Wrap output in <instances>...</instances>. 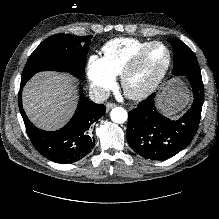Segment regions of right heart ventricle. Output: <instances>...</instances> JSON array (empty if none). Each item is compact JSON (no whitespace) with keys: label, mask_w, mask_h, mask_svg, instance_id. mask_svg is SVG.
<instances>
[{"label":"right heart ventricle","mask_w":219,"mask_h":219,"mask_svg":"<svg viewBox=\"0 0 219 219\" xmlns=\"http://www.w3.org/2000/svg\"><path fill=\"white\" fill-rule=\"evenodd\" d=\"M150 43L130 37L114 38L103 45L102 59L114 76L120 75L129 61Z\"/></svg>","instance_id":"obj_1"}]
</instances>
